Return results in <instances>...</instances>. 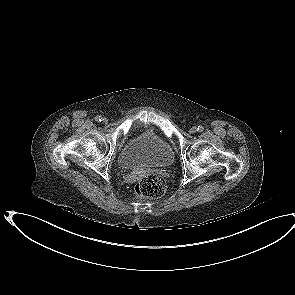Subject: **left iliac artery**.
Listing matches in <instances>:
<instances>
[{
	"mask_svg": "<svg viewBox=\"0 0 295 295\" xmlns=\"http://www.w3.org/2000/svg\"><path fill=\"white\" fill-rule=\"evenodd\" d=\"M204 130V127L202 125H199L197 127V131L202 132Z\"/></svg>",
	"mask_w": 295,
	"mask_h": 295,
	"instance_id": "44dca946",
	"label": "left iliac artery"
}]
</instances>
